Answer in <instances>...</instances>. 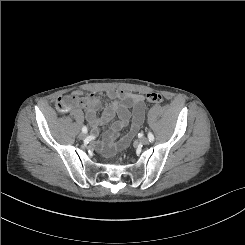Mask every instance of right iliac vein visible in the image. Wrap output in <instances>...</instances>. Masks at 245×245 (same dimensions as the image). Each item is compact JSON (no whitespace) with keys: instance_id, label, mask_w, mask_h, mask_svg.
I'll use <instances>...</instances> for the list:
<instances>
[{"instance_id":"1","label":"right iliac vein","mask_w":245,"mask_h":245,"mask_svg":"<svg viewBox=\"0 0 245 245\" xmlns=\"http://www.w3.org/2000/svg\"><path fill=\"white\" fill-rule=\"evenodd\" d=\"M85 137H86V135H85L84 133H80V134H79V138H80V139H84Z\"/></svg>"}]
</instances>
